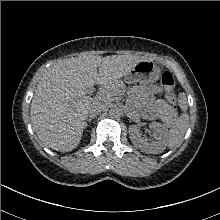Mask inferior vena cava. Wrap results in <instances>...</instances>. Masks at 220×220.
Segmentation results:
<instances>
[{
	"label": "inferior vena cava",
	"instance_id": "obj_1",
	"mask_svg": "<svg viewBox=\"0 0 220 220\" xmlns=\"http://www.w3.org/2000/svg\"><path fill=\"white\" fill-rule=\"evenodd\" d=\"M105 106L101 104H94L89 110V117L94 118L104 110Z\"/></svg>",
	"mask_w": 220,
	"mask_h": 220
}]
</instances>
